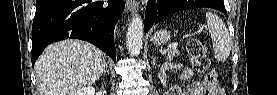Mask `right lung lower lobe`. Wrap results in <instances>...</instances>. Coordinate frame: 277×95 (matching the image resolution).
<instances>
[{"instance_id":"right-lung-lower-lobe-1","label":"right lung lower lobe","mask_w":277,"mask_h":95,"mask_svg":"<svg viewBox=\"0 0 277 95\" xmlns=\"http://www.w3.org/2000/svg\"><path fill=\"white\" fill-rule=\"evenodd\" d=\"M123 0H37L32 26V65L52 42L67 38L88 41L116 61L114 28Z\"/></svg>"}]
</instances>
